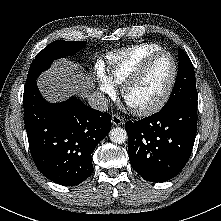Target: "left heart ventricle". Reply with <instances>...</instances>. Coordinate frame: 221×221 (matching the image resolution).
<instances>
[{
  "mask_svg": "<svg viewBox=\"0 0 221 221\" xmlns=\"http://www.w3.org/2000/svg\"><path fill=\"white\" fill-rule=\"evenodd\" d=\"M173 72L170 57L157 58L128 90L126 101L130 107L147 106L160 97L166 88Z\"/></svg>",
  "mask_w": 221,
  "mask_h": 221,
  "instance_id": "obj_1",
  "label": "left heart ventricle"
}]
</instances>
